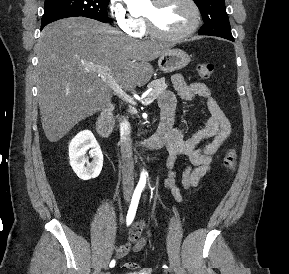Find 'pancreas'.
<instances>
[{
  "mask_svg": "<svg viewBox=\"0 0 289 274\" xmlns=\"http://www.w3.org/2000/svg\"><path fill=\"white\" fill-rule=\"evenodd\" d=\"M148 88H152L149 96L153 97L154 99L160 97L166 89H167V84L165 83V79H156L153 80L149 85ZM129 112L130 113H135V110L132 106H129Z\"/></svg>",
  "mask_w": 289,
  "mask_h": 274,
  "instance_id": "cf45deb5",
  "label": "pancreas"
}]
</instances>
